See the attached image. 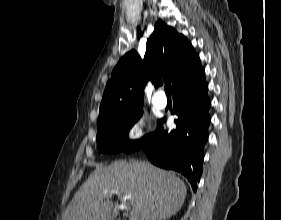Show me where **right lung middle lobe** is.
Listing matches in <instances>:
<instances>
[{
    "instance_id": "1",
    "label": "right lung middle lobe",
    "mask_w": 281,
    "mask_h": 220,
    "mask_svg": "<svg viewBox=\"0 0 281 220\" xmlns=\"http://www.w3.org/2000/svg\"><path fill=\"white\" fill-rule=\"evenodd\" d=\"M142 109L133 113L113 117L98 124L97 147L100 153H130L139 149L152 135H146L140 140L130 141L128 131L141 117Z\"/></svg>"
}]
</instances>
